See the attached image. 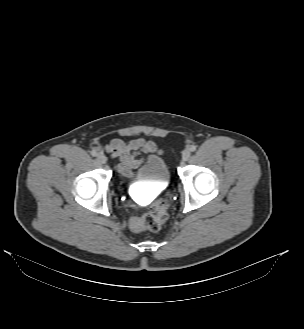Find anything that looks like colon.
Listing matches in <instances>:
<instances>
[{
  "mask_svg": "<svg viewBox=\"0 0 304 329\" xmlns=\"http://www.w3.org/2000/svg\"><path fill=\"white\" fill-rule=\"evenodd\" d=\"M168 200L160 198L153 202L151 211L141 217H131L129 227L133 231L150 230L159 231L167 219Z\"/></svg>",
  "mask_w": 304,
  "mask_h": 329,
  "instance_id": "colon-1",
  "label": "colon"
}]
</instances>
